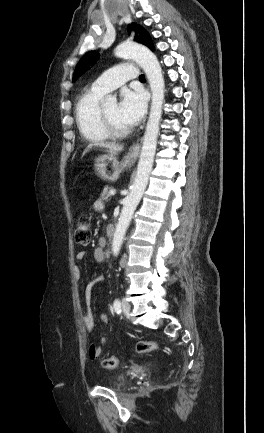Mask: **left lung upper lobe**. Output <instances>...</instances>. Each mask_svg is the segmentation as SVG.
<instances>
[{
    "label": "left lung upper lobe",
    "mask_w": 264,
    "mask_h": 433,
    "mask_svg": "<svg viewBox=\"0 0 264 433\" xmlns=\"http://www.w3.org/2000/svg\"><path fill=\"white\" fill-rule=\"evenodd\" d=\"M132 29H134L136 32L134 40L148 46L151 50L154 49L151 37L142 26L133 23L129 26V30ZM98 56L99 54L97 52L87 53L77 64L73 75V81H75L80 75L87 71L90 66H92L96 62Z\"/></svg>",
    "instance_id": "1"
}]
</instances>
